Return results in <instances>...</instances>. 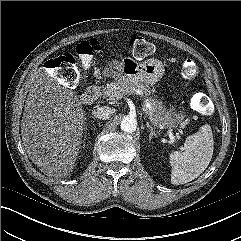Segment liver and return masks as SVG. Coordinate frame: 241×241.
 <instances>
[{"label": "liver", "instance_id": "6515ba94", "mask_svg": "<svg viewBox=\"0 0 241 241\" xmlns=\"http://www.w3.org/2000/svg\"><path fill=\"white\" fill-rule=\"evenodd\" d=\"M21 121L26 153L41 171L55 179L72 172L85 126L79 97L40 68L34 75Z\"/></svg>", "mask_w": 241, "mask_h": 241}]
</instances>
